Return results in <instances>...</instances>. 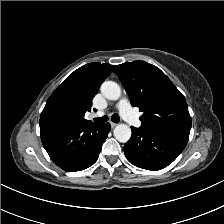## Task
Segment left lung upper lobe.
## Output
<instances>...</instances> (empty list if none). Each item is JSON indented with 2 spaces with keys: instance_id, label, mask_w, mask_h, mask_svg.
Listing matches in <instances>:
<instances>
[{
  "instance_id": "left-lung-upper-lobe-1",
  "label": "left lung upper lobe",
  "mask_w": 224,
  "mask_h": 224,
  "mask_svg": "<svg viewBox=\"0 0 224 224\" xmlns=\"http://www.w3.org/2000/svg\"><path fill=\"white\" fill-rule=\"evenodd\" d=\"M114 72L131 103L143 111L141 128L189 138L191 117L184 96L156 66L144 61L123 63Z\"/></svg>"
}]
</instances>
